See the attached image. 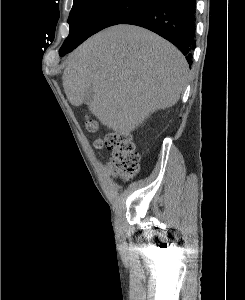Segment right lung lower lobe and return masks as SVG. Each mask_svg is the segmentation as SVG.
Segmentation results:
<instances>
[{"label": "right lung lower lobe", "mask_w": 245, "mask_h": 300, "mask_svg": "<svg viewBox=\"0 0 245 300\" xmlns=\"http://www.w3.org/2000/svg\"><path fill=\"white\" fill-rule=\"evenodd\" d=\"M121 24L137 25L157 33L173 43L186 55L188 63L191 62V53L196 46L195 0H155ZM76 47L67 49L60 56Z\"/></svg>", "instance_id": "obj_1"}]
</instances>
